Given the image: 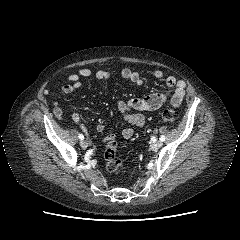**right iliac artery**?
<instances>
[{
    "mask_svg": "<svg viewBox=\"0 0 240 240\" xmlns=\"http://www.w3.org/2000/svg\"><path fill=\"white\" fill-rule=\"evenodd\" d=\"M78 137H79L80 140H83V139H84L83 134H79Z\"/></svg>",
    "mask_w": 240,
    "mask_h": 240,
    "instance_id": "82829eb1",
    "label": "right iliac artery"
}]
</instances>
